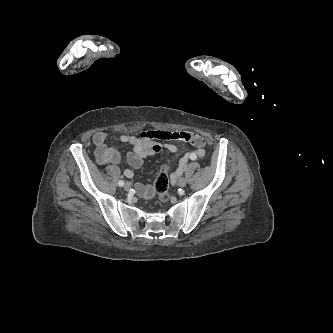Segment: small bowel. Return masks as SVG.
<instances>
[{
  "label": "small bowel",
  "mask_w": 333,
  "mask_h": 333,
  "mask_svg": "<svg viewBox=\"0 0 333 333\" xmlns=\"http://www.w3.org/2000/svg\"><path fill=\"white\" fill-rule=\"evenodd\" d=\"M95 145V158L98 164H118L120 162V155L118 151L107 146V135L105 132H96L92 137ZM161 140L164 143H158ZM122 143L131 146V151L127 154V161L132 167L125 169L124 175L128 178L134 176V169L140 168L144 159L149 155H155L162 149L170 152H176L177 146L170 141H188L196 146V150L185 154L175 170L171 175V183L174 184L178 177L182 175L189 161L196 160L202 157L205 153V138L197 133L190 131H166V130H149L142 132L140 136L122 135L120 137ZM138 194L146 199L153 196V190L149 185L139 184L137 186Z\"/></svg>",
  "instance_id": "small-bowel-1"
}]
</instances>
